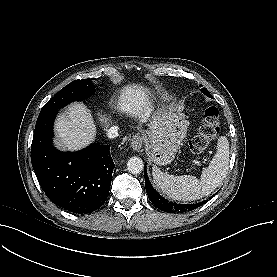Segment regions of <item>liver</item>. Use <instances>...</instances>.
<instances>
[{
	"label": "liver",
	"mask_w": 277,
	"mask_h": 277,
	"mask_svg": "<svg viewBox=\"0 0 277 277\" xmlns=\"http://www.w3.org/2000/svg\"><path fill=\"white\" fill-rule=\"evenodd\" d=\"M149 94L146 88L133 85L126 87L118 99L117 108L120 112L145 122L150 112ZM104 117L101 118V121ZM58 149L75 151L86 147L94 141L96 126L90 111L81 103L72 104L65 113L55 121Z\"/></svg>",
	"instance_id": "obj_1"
}]
</instances>
